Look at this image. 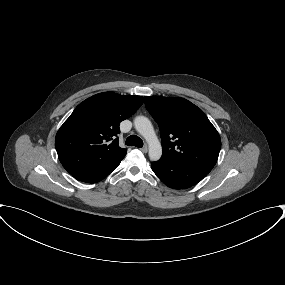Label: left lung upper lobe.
<instances>
[{
    "mask_svg": "<svg viewBox=\"0 0 285 285\" xmlns=\"http://www.w3.org/2000/svg\"><path fill=\"white\" fill-rule=\"evenodd\" d=\"M144 99L159 125L161 159L209 173L217 162L221 140L203 111L184 98L146 96Z\"/></svg>",
    "mask_w": 285,
    "mask_h": 285,
    "instance_id": "left-lung-upper-lobe-1",
    "label": "left lung upper lobe"
}]
</instances>
